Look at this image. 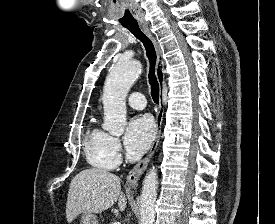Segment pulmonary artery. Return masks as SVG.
<instances>
[{
    "mask_svg": "<svg viewBox=\"0 0 275 224\" xmlns=\"http://www.w3.org/2000/svg\"><path fill=\"white\" fill-rule=\"evenodd\" d=\"M128 104L137 110H142L146 107V99L143 94L136 92L132 93L128 99H127Z\"/></svg>",
    "mask_w": 275,
    "mask_h": 224,
    "instance_id": "obj_1",
    "label": "pulmonary artery"
}]
</instances>
